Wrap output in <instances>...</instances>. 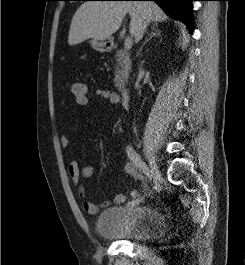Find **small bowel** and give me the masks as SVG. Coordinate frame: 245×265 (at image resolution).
I'll return each mask as SVG.
<instances>
[{
    "mask_svg": "<svg viewBox=\"0 0 245 265\" xmlns=\"http://www.w3.org/2000/svg\"><path fill=\"white\" fill-rule=\"evenodd\" d=\"M94 95L101 99H107L112 103H119V96L110 90L97 88L94 91ZM60 145L63 148H66L69 145V138L66 135H62L60 137ZM125 173L136 178L141 179V175L133 163H127L124 167ZM67 171L71 182L78 188V195L84 201L83 209L86 213L90 215H96L98 212L104 208L109 206L111 203L122 205L126 202V196L124 194H116L112 201H105L102 203H95L90 200H87V195L81 180L84 178H89L94 174V167L92 165H85L83 167H79L77 161L71 160L67 165ZM130 196L132 198H136L138 196L137 190H132L130 192Z\"/></svg>",
    "mask_w": 245,
    "mask_h": 265,
    "instance_id": "1",
    "label": "small bowel"
}]
</instances>
